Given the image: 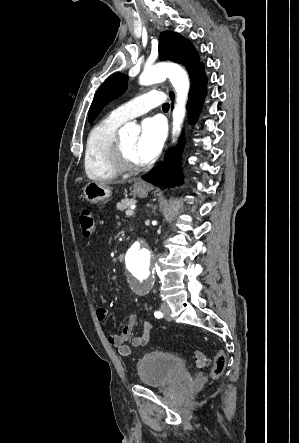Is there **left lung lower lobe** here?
I'll return each mask as SVG.
<instances>
[{"mask_svg":"<svg viewBox=\"0 0 299 443\" xmlns=\"http://www.w3.org/2000/svg\"><path fill=\"white\" fill-rule=\"evenodd\" d=\"M191 80V91L187 107L190 109L192 116L195 118L198 115L204 96L206 94L207 79L204 74L203 65L199 67ZM173 100V95H170ZM180 145L176 150H171L165 158V163H159L149 173L142 176L147 182L155 185H162L164 187H171L173 184H180V174L178 166V152Z\"/></svg>","mask_w":299,"mask_h":443,"instance_id":"left-lung-lower-lobe-1","label":"left lung lower lobe"}]
</instances>
